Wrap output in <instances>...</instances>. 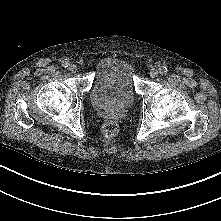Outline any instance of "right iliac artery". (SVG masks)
I'll use <instances>...</instances> for the list:
<instances>
[{"mask_svg":"<svg viewBox=\"0 0 221 221\" xmlns=\"http://www.w3.org/2000/svg\"><path fill=\"white\" fill-rule=\"evenodd\" d=\"M62 65H63V67L67 68V67H69L70 62L67 59H65L62 61Z\"/></svg>","mask_w":221,"mask_h":221,"instance_id":"82829eb1","label":"right iliac artery"}]
</instances>
